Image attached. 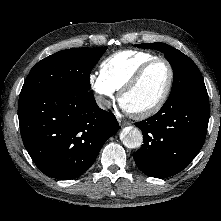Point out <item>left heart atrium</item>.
I'll return each mask as SVG.
<instances>
[{
  "label": "left heart atrium",
  "instance_id": "obj_1",
  "mask_svg": "<svg viewBox=\"0 0 221 221\" xmlns=\"http://www.w3.org/2000/svg\"><path fill=\"white\" fill-rule=\"evenodd\" d=\"M121 107H122L124 110L128 111L124 106L121 105Z\"/></svg>",
  "mask_w": 221,
  "mask_h": 221
}]
</instances>
